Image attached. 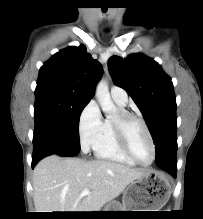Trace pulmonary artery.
Instances as JSON below:
<instances>
[{
  "label": "pulmonary artery",
  "mask_w": 203,
  "mask_h": 219,
  "mask_svg": "<svg viewBox=\"0 0 203 219\" xmlns=\"http://www.w3.org/2000/svg\"><path fill=\"white\" fill-rule=\"evenodd\" d=\"M110 94L112 99L120 104V105H126L128 102V96L127 93L124 89L118 86H113L110 90Z\"/></svg>",
  "instance_id": "pulmonary-artery-1"
}]
</instances>
